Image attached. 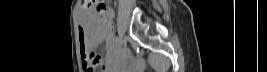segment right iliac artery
I'll use <instances>...</instances> for the list:
<instances>
[{"instance_id": "82829eb1", "label": "right iliac artery", "mask_w": 267, "mask_h": 72, "mask_svg": "<svg viewBox=\"0 0 267 72\" xmlns=\"http://www.w3.org/2000/svg\"><path fill=\"white\" fill-rule=\"evenodd\" d=\"M114 41L117 43V42L120 41V38H119V37H115V38H114Z\"/></svg>"}]
</instances>
